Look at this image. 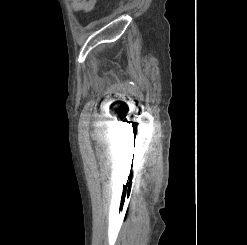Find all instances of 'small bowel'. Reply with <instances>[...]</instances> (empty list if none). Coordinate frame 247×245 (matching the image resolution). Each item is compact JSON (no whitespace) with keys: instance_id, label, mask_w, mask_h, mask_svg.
I'll return each mask as SVG.
<instances>
[{"instance_id":"c3829d8e","label":"small bowel","mask_w":247,"mask_h":245,"mask_svg":"<svg viewBox=\"0 0 247 245\" xmlns=\"http://www.w3.org/2000/svg\"><path fill=\"white\" fill-rule=\"evenodd\" d=\"M98 0H70L71 7L76 12L90 11Z\"/></svg>"}]
</instances>
